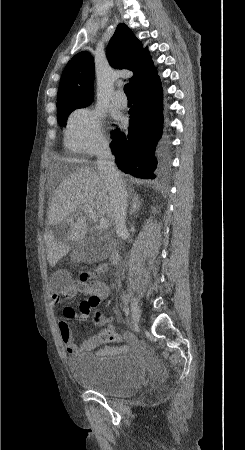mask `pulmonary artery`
<instances>
[{"instance_id":"obj_1","label":"pulmonary artery","mask_w":245,"mask_h":450,"mask_svg":"<svg viewBox=\"0 0 245 450\" xmlns=\"http://www.w3.org/2000/svg\"><path fill=\"white\" fill-rule=\"evenodd\" d=\"M112 102L116 106H118L120 108H124V107H126L128 101H127V97L124 94V92L121 89H119L113 93Z\"/></svg>"}]
</instances>
